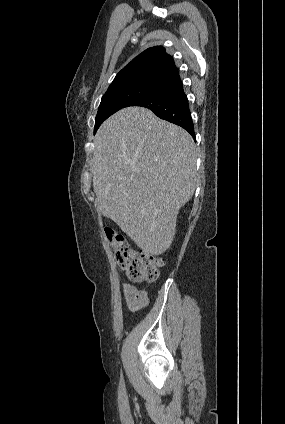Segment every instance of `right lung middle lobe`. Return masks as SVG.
I'll use <instances>...</instances> for the list:
<instances>
[{"instance_id": "right-lung-middle-lobe-1", "label": "right lung middle lobe", "mask_w": 285, "mask_h": 424, "mask_svg": "<svg viewBox=\"0 0 285 424\" xmlns=\"http://www.w3.org/2000/svg\"><path fill=\"white\" fill-rule=\"evenodd\" d=\"M163 85L158 82H138L108 89L99 105L94 133L109 116L122 108L128 107L134 100L155 92Z\"/></svg>"}]
</instances>
